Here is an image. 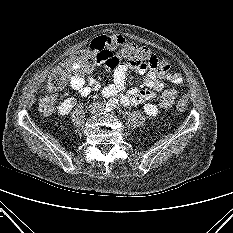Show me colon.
Instances as JSON below:
<instances>
[{"label": "colon", "instance_id": "colon-1", "mask_svg": "<svg viewBox=\"0 0 233 233\" xmlns=\"http://www.w3.org/2000/svg\"><path fill=\"white\" fill-rule=\"evenodd\" d=\"M116 48H120L122 56L129 64L159 68L169 67L165 58L155 56L146 47L125 41L117 43L107 41L98 48L90 46L89 48L79 50L73 53L65 62L55 67L48 76L47 89L50 91L61 90L72 73L92 70L105 59L107 50H116ZM176 97L177 93L175 90H165L160 96V108L162 110L170 109L175 103ZM55 104V95H42L39 101L40 110L45 114L53 113Z\"/></svg>", "mask_w": 233, "mask_h": 233}]
</instances>
